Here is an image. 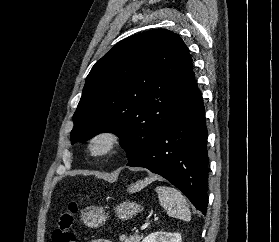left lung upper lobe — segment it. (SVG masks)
<instances>
[{
    "label": "left lung upper lobe",
    "instance_id": "1",
    "mask_svg": "<svg viewBox=\"0 0 279 242\" xmlns=\"http://www.w3.org/2000/svg\"><path fill=\"white\" fill-rule=\"evenodd\" d=\"M193 79L192 59L177 34L154 29L120 41L86 78L71 143L113 132L128 160L136 158L183 102Z\"/></svg>",
    "mask_w": 279,
    "mask_h": 242
}]
</instances>
